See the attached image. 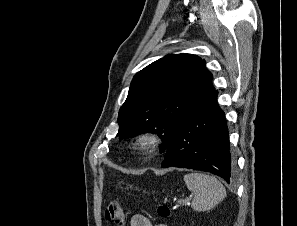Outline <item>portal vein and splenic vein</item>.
<instances>
[{"instance_id": "portal-vein-and-splenic-vein-1", "label": "portal vein and splenic vein", "mask_w": 297, "mask_h": 226, "mask_svg": "<svg viewBox=\"0 0 297 226\" xmlns=\"http://www.w3.org/2000/svg\"><path fill=\"white\" fill-rule=\"evenodd\" d=\"M178 203H179V205L184 204V203H189V200H188V199H187V200H182V199H180V200L178 201Z\"/></svg>"}]
</instances>
